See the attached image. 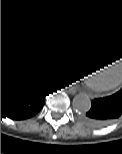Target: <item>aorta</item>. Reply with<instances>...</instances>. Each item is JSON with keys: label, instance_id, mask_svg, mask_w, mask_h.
<instances>
[{"label": "aorta", "instance_id": "1", "mask_svg": "<svg viewBox=\"0 0 122 154\" xmlns=\"http://www.w3.org/2000/svg\"><path fill=\"white\" fill-rule=\"evenodd\" d=\"M72 105L77 113L84 114L90 110L91 100L87 94L80 93L74 97Z\"/></svg>", "mask_w": 122, "mask_h": 154}]
</instances>
